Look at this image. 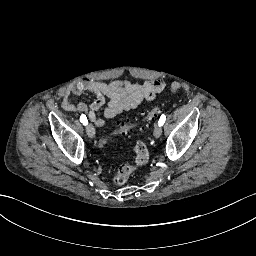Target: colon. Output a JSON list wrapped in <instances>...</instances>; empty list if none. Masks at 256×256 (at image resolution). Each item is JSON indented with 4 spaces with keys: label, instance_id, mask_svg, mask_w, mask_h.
Returning <instances> with one entry per match:
<instances>
[{
    "label": "colon",
    "instance_id": "5ec220e1",
    "mask_svg": "<svg viewBox=\"0 0 256 256\" xmlns=\"http://www.w3.org/2000/svg\"><path fill=\"white\" fill-rule=\"evenodd\" d=\"M181 90V85L177 82L171 85L170 91L172 93H178ZM160 106H155L147 114L143 115L142 118L136 122L132 123L130 121L121 123L114 131L106 133L100 140V145L104 146L112 137L117 136H127L130 135L133 130L141 129L146 123L153 120L160 113ZM135 158L137 165H144L148 162L150 154L144 142L138 141L134 146ZM134 171V166L132 165H121L117 172L112 177V183L114 185H123L126 183L127 179Z\"/></svg>",
    "mask_w": 256,
    "mask_h": 256
}]
</instances>
